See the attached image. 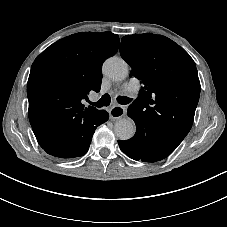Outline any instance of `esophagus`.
I'll list each match as a JSON object with an SVG mask.
<instances>
[{"mask_svg":"<svg viewBox=\"0 0 227 227\" xmlns=\"http://www.w3.org/2000/svg\"><path fill=\"white\" fill-rule=\"evenodd\" d=\"M125 115V107L121 105H114L109 110V117L111 120L122 118Z\"/></svg>","mask_w":227,"mask_h":227,"instance_id":"esophagus-1","label":"esophagus"}]
</instances>
